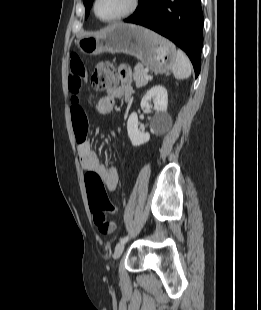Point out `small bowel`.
<instances>
[{"instance_id": "1", "label": "small bowel", "mask_w": 261, "mask_h": 310, "mask_svg": "<svg viewBox=\"0 0 261 310\" xmlns=\"http://www.w3.org/2000/svg\"><path fill=\"white\" fill-rule=\"evenodd\" d=\"M118 77L119 84L110 87L107 94L98 101V112L103 114L110 112L113 109L116 99L129 96L132 82L130 68L126 65H121L118 69ZM85 81L86 72L84 64L78 55L72 54L69 63L68 87L73 94L71 116L76 141L78 143L77 152L80 163L84 170L98 173L109 191H115L119 183V176L116 168L111 164L104 165L100 163L97 153L87 140V116L77 97Z\"/></svg>"}]
</instances>
